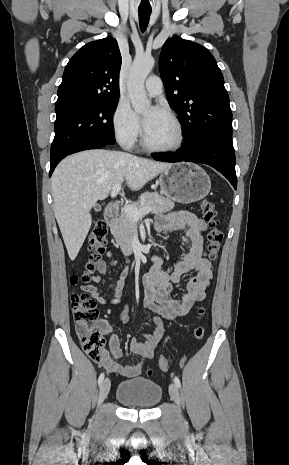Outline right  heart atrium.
Here are the masks:
<instances>
[{
	"mask_svg": "<svg viewBox=\"0 0 289 465\" xmlns=\"http://www.w3.org/2000/svg\"><path fill=\"white\" fill-rule=\"evenodd\" d=\"M111 122L115 138L122 146L134 145L141 135L140 119L130 105L124 101L117 103Z\"/></svg>",
	"mask_w": 289,
	"mask_h": 465,
	"instance_id": "obj_1",
	"label": "right heart atrium"
}]
</instances>
